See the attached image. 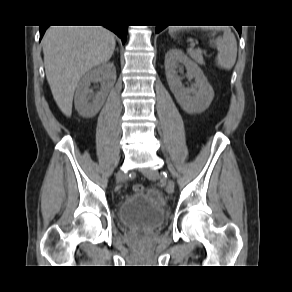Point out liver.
I'll return each mask as SVG.
<instances>
[{"instance_id": "6515ba94", "label": "liver", "mask_w": 292, "mask_h": 292, "mask_svg": "<svg viewBox=\"0 0 292 292\" xmlns=\"http://www.w3.org/2000/svg\"><path fill=\"white\" fill-rule=\"evenodd\" d=\"M115 45L114 34L102 26H51L46 31L42 40L46 78L64 115L72 114L81 77L107 62Z\"/></svg>"}]
</instances>
